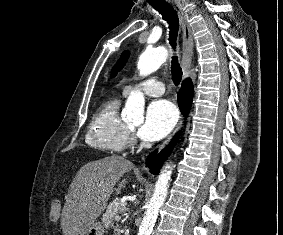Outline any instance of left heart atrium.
<instances>
[{"label": "left heart atrium", "instance_id": "left-heart-atrium-1", "mask_svg": "<svg viewBox=\"0 0 283 235\" xmlns=\"http://www.w3.org/2000/svg\"><path fill=\"white\" fill-rule=\"evenodd\" d=\"M177 117V111L171 102L156 100L149 105L138 135L146 141H157L173 129Z\"/></svg>", "mask_w": 283, "mask_h": 235}]
</instances>
